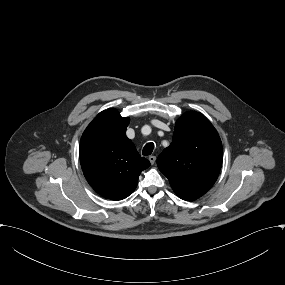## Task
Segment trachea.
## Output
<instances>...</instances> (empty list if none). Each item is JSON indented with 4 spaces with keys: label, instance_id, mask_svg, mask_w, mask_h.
Segmentation results:
<instances>
[{
    "label": "trachea",
    "instance_id": "3493384b",
    "mask_svg": "<svg viewBox=\"0 0 285 285\" xmlns=\"http://www.w3.org/2000/svg\"><path fill=\"white\" fill-rule=\"evenodd\" d=\"M153 150H154V143H147L143 148L142 154L144 156H149L150 154H152Z\"/></svg>",
    "mask_w": 285,
    "mask_h": 285
}]
</instances>
